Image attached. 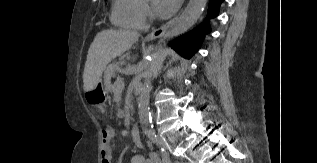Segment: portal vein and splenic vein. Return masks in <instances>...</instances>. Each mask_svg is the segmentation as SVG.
<instances>
[{"label":"portal vein and splenic vein","mask_w":317,"mask_h":163,"mask_svg":"<svg viewBox=\"0 0 317 163\" xmlns=\"http://www.w3.org/2000/svg\"><path fill=\"white\" fill-rule=\"evenodd\" d=\"M115 91H122L124 89V83L121 79H117L114 83Z\"/></svg>","instance_id":"portal-vein-and-splenic-vein-1"}]
</instances>
